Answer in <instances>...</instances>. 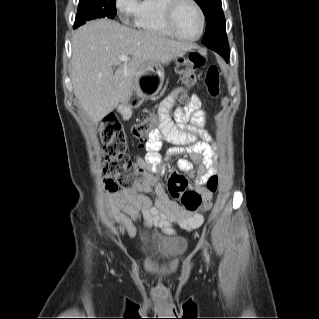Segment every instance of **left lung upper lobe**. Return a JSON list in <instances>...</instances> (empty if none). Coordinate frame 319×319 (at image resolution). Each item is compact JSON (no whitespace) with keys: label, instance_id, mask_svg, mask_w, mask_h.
I'll return each instance as SVG.
<instances>
[{"label":"left lung upper lobe","instance_id":"1","mask_svg":"<svg viewBox=\"0 0 319 319\" xmlns=\"http://www.w3.org/2000/svg\"><path fill=\"white\" fill-rule=\"evenodd\" d=\"M206 17V30L202 43L223 56L229 50L225 30V17L221 0H195Z\"/></svg>","mask_w":319,"mask_h":319}]
</instances>
